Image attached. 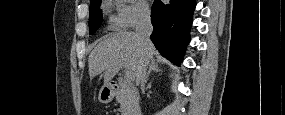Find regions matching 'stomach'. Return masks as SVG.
I'll use <instances>...</instances> for the list:
<instances>
[{"label":"stomach","mask_w":285,"mask_h":115,"mask_svg":"<svg viewBox=\"0 0 285 115\" xmlns=\"http://www.w3.org/2000/svg\"><path fill=\"white\" fill-rule=\"evenodd\" d=\"M115 94L116 92L112 85H104L99 91L98 100L103 104H107L113 100Z\"/></svg>","instance_id":"obj_1"}]
</instances>
